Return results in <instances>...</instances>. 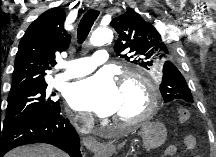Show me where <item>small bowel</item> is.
Returning <instances> with one entry per match:
<instances>
[{
  "mask_svg": "<svg viewBox=\"0 0 216 157\" xmlns=\"http://www.w3.org/2000/svg\"><path fill=\"white\" fill-rule=\"evenodd\" d=\"M197 142L194 136H186L184 138V147L187 152L192 153L196 150ZM177 152V148L175 145H169L165 151L164 156L171 157L174 156Z\"/></svg>",
  "mask_w": 216,
  "mask_h": 157,
  "instance_id": "small-bowel-1",
  "label": "small bowel"
}]
</instances>
